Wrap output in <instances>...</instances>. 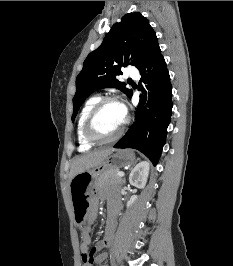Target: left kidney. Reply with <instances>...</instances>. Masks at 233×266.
<instances>
[{
	"mask_svg": "<svg viewBox=\"0 0 233 266\" xmlns=\"http://www.w3.org/2000/svg\"><path fill=\"white\" fill-rule=\"evenodd\" d=\"M149 167L150 164L146 161H142L139 164H137L130 173L129 176L130 184L137 188L145 187L148 178ZM136 199L137 195L131 196L129 201L127 202V207L132 205Z\"/></svg>",
	"mask_w": 233,
	"mask_h": 266,
	"instance_id": "left-kidney-1",
	"label": "left kidney"
}]
</instances>
